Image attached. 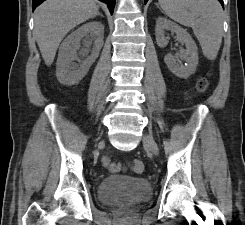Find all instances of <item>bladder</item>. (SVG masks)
<instances>
[{
	"instance_id": "1",
	"label": "bladder",
	"mask_w": 245,
	"mask_h": 225,
	"mask_svg": "<svg viewBox=\"0 0 245 225\" xmlns=\"http://www.w3.org/2000/svg\"><path fill=\"white\" fill-rule=\"evenodd\" d=\"M152 197V186L142 176L111 174L100 181L96 190L97 202L104 207L117 205L127 199L136 202L148 201Z\"/></svg>"
}]
</instances>
